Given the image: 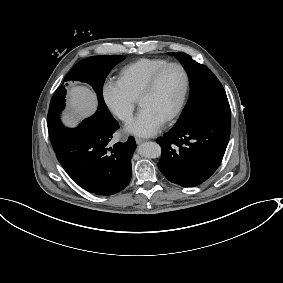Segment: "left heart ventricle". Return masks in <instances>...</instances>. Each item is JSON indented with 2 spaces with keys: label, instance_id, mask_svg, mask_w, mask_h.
Returning a JSON list of instances; mask_svg holds the SVG:
<instances>
[{
  "label": "left heart ventricle",
  "instance_id": "b2bd125f",
  "mask_svg": "<svg viewBox=\"0 0 283 283\" xmlns=\"http://www.w3.org/2000/svg\"><path fill=\"white\" fill-rule=\"evenodd\" d=\"M183 87L181 69L170 67L160 77L153 92L140 102V108H147L164 120L176 107Z\"/></svg>",
  "mask_w": 283,
  "mask_h": 283
}]
</instances>
